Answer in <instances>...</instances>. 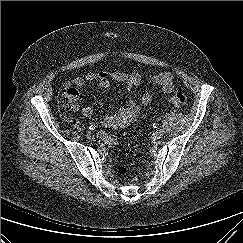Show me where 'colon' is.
<instances>
[{
    "label": "colon",
    "mask_w": 243,
    "mask_h": 243,
    "mask_svg": "<svg viewBox=\"0 0 243 243\" xmlns=\"http://www.w3.org/2000/svg\"><path fill=\"white\" fill-rule=\"evenodd\" d=\"M76 99L74 93L71 90L63 89L58 95V107L60 115L63 119L69 120L72 118L74 111L76 110ZM169 101L177 106L182 107L187 103V97L181 92L174 93L169 96ZM130 173V169L121 165L117 167V174L121 177H127Z\"/></svg>",
    "instance_id": "colon-1"
}]
</instances>
